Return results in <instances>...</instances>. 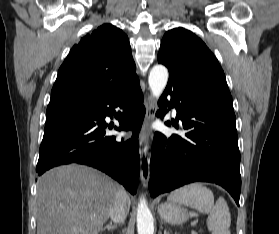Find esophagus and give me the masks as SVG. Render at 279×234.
Instances as JSON below:
<instances>
[{"label": "esophagus", "instance_id": "1", "mask_svg": "<svg viewBox=\"0 0 279 234\" xmlns=\"http://www.w3.org/2000/svg\"><path fill=\"white\" fill-rule=\"evenodd\" d=\"M146 113L141 130L140 139V175L143 186H147L150 176V158H149V144L146 137V129L154 119L156 110V103L151 96L145 99Z\"/></svg>", "mask_w": 279, "mask_h": 234}]
</instances>
